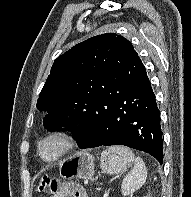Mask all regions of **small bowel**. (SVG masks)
Here are the masks:
<instances>
[{"label":"small bowel","mask_w":191,"mask_h":197,"mask_svg":"<svg viewBox=\"0 0 191 197\" xmlns=\"http://www.w3.org/2000/svg\"><path fill=\"white\" fill-rule=\"evenodd\" d=\"M52 197H86V194L80 188L70 185H64L63 189L54 193Z\"/></svg>","instance_id":"c3829d8e"}]
</instances>
